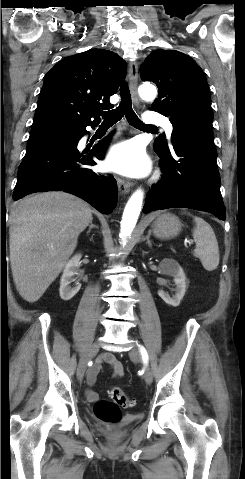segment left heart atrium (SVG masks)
Segmentation results:
<instances>
[{"mask_svg": "<svg viewBox=\"0 0 245 479\" xmlns=\"http://www.w3.org/2000/svg\"><path fill=\"white\" fill-rule=\"evenodd\" d=\"M105 167L126 176L141 177L148 173L150 162L144 148L138 142L129 140L110 150Z\"/></svg>", "mask_w": 245, "mask_h": 479, "instance_id": "1", "label": "left heart atrium"}]
</instances>
